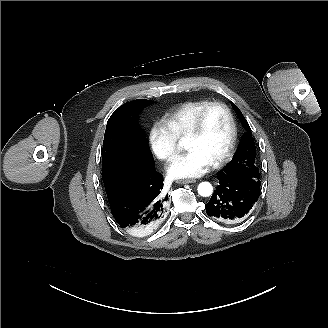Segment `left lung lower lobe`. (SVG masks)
Masks as SVG:
<instances>
[{
    "instance_id": "0a47b994",
    "label": "left lung lower lobe",
    "mask_w": 328,
    "mask_h": 328,
    "mask_svg": "<svg viewBox=\"0 0 328 328\" xmlns=\"http://www.w3.org/2000/svg\"><path fill=\"white\" fill-rule=\"evenodd\" d=\"M217 178L219 185L205 204L206 213L224 223L244 219L259 197V178L223 171L217 173Z\"/></svg>"
}]
</instances>
